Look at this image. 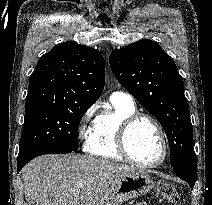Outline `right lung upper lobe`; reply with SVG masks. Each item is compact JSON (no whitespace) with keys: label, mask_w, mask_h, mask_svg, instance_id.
Returning a JSON list of instances; mask_svg holds the SVG:
<instances>
[{"label":"right lung upper lobe","mask_w":212,"mask_h":205,"mask_svg":"<svg viewBox=\"0 0 212 205\" xmlns=\"http://www.w3.org/2000/svg\"><path fill=\"white\" fill-rule=\"evenodd\" d=\"M104 83L102 54L73 41L64 42L39 59L25 103L90 106L99 99Z\"/></svg>","instance_id":"1"}]
</instances>
